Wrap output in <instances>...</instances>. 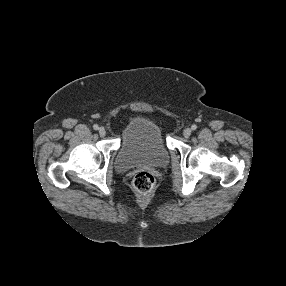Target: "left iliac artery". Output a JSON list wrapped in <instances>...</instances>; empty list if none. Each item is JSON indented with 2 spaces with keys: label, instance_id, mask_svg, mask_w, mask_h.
<instances>
[{
  "label": "left iliac artery",
  "instance_id": "obj_1",
  "mask_svg": "<svg viewBox=\"0 0 286 286\" xmlns=\"http://www.w3.org/2000/svg\"><path fill=\"white\" fill-rule=\"evenodd\" d=\"M191 129H192V130H196V129H197V126L194 124V125L191 126Z\"/></svg>",
  "mask_w": 286,
  "mask_h": 286
}]
</instances>
